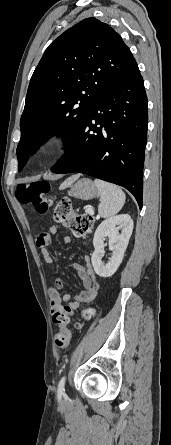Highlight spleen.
<instances>
[{
    "instance_id": "spleen-1",
    "label": "spleen",
    "mask_w": 171,
    "mask_h": 445,
    "mask_svg": "<svg viewBox=\"0 0 171 445\" xmlns=\"http://www.w3.org/2000/svg\"><path fill=\"white\" fill-rule=\"evenodd\" d=\"M94 184L99 190L101 202L98 212L101 217L108 218L117 214L125 203L124 192L116 185L95 179Z\"/></svg>"
}]
</instances>
